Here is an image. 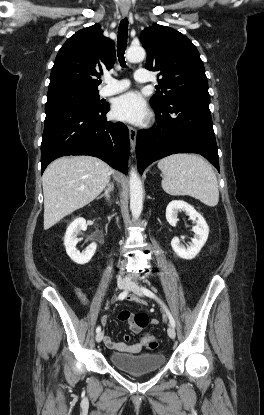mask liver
<instances>
[{"label":"liver","mask_w":264,"mask_h":415,"mask_svg":"<svg viewBox=\"0 0 264 415\" xmlns=\"http://www.w3.org/2000/svg\"><path fill=\"white\" fill-rule=\"evenodd\" d=\"M111 173L109 165L92 156L53 161L42 176L44 229L92 202L104 190Z\"/></svg>","instance_id":"1"}]
</instances>
